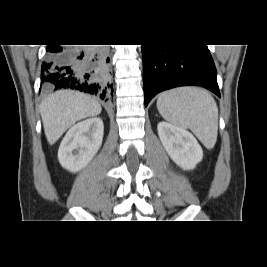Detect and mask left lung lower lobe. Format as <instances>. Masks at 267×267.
<instances>
[{
  "instance_id": "0a47b994",
  "label": "left lung lower lobe",
  "mask_w": 267,
  "mask_h": 267,
  "mask_svg": "<svg viewBox=\"0 0 267 267\" xmlns=\"http://www.w3.org/2000/svg\"><path fill=\"white\" fill-rule=\"evenodd\" d=\"M145 106L159 92L202 86L220 97L216 68L207 45H142Z\"/></svg>"
}]
</instances>
